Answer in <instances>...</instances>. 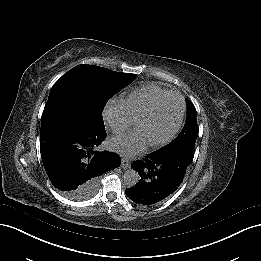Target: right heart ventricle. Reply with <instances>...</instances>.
<instances>
[{
    "label": "right heart ventricle",
    "mask_w": 261,
    "mask_h": 261,
    "mask_svg": "<svg viewBox=\"0 0 261 261\" xmlns=\"http://www.w3.org/2000/svg\"><path fill=\"white\" fill-rule=\"evenodd\" d=\"M173 93L159 85H148L132 92L122 100L123 113L130 119H137L153 107L167 101Z\"/></svg>",
    "instance_id": "obj_1"
}]
</instances>
